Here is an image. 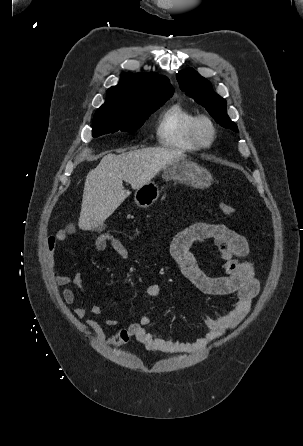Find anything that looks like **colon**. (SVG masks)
Returning <instances> with one entry per match:
<instances>
[{
  "label": "colon",
  "mask_w": 303,
  "mask_h": 446,
  "mask_svg": "<svg viewBox=\"0 0 303 446\" xmlns=\"http://www.w3.org/2000/svg\"><path fill=\"white\" fill-rule=\"evenodd\" d=\"M219 207H220V210L226 215H234L236 212V209L234 206H232L228 203H225V202H221ZM103 236L105 237V239H110L112 237V235L109 233H105V234H103Z\"/></svg>",
  "instance_id": "obj_1"
}]
</instances>
